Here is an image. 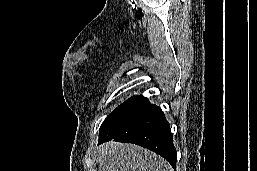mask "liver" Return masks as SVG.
<instances>
[{
  "instance_id": "obj_1",
  "label": "liver",
  "mask_w": 257,
  "mask_h": 171,
  "mask_svg": "<svg viewBox=\"0 0 257 171\" xmlns=\"http://www.w3.org/2000/svg\"><path fill=\"white\" fill-rule=\"evenodd\" d=\"M99 171H173L161 156L135 144L107 142L99 152Z\"/></svg>"
}]
</instances>
